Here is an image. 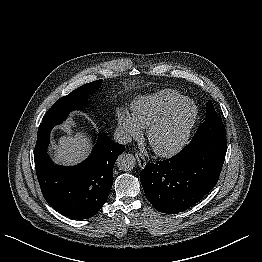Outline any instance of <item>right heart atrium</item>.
Returning <instances> with one entry per match:
<instances>
[{"label":"right heart atrium","mask_w":262,"mask_h":262,"mask_svg":"<svg viewBox=\"0 0 262 262\" xmlns=\"http://www.w3.org/2000/svg\"><path fill=\"white\" fill-rule=\"evenodd\" d=\"M118 131L126 141L132 138H139L142 128L135 121L134 117L125 109L120 108L117 112Z\"/></svg>","instance_id":"d8ad5b80"}]
</instances>
